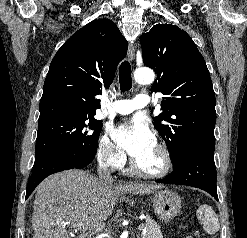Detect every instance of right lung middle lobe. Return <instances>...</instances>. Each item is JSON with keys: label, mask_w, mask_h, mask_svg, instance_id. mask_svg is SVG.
I'll use <instances>...</instances> for the list:
<instances>
[{"label": "right lung middle lobe", "mask_w": 247, "mask_h": 238, "mask_svg": "<svg viewBox=\"0 0 247 238\" xmlns=\"http://www.w3.org/2000/svg\"><path fill=\"white\" fill-rule=\"evenodd\" d=\"M101 129L102 122L94 115L57 118L39 123L34 165L61 154L94 158Z\"/></svg>", "instance_id": "obj_1"}]
</instances>
